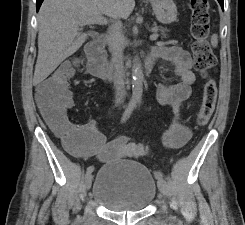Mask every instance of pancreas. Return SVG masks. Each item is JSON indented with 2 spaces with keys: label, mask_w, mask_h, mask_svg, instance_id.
Listing matches in <instances>:
<instances>
[{
  "label": "pancreas",
  "mask_w": 245,
  "mask_h": 225,
  "mask_svg": "<svg viewBox=\"0 0 245 225\" xmlns=\"http://www.w3.org/2000/svg\"><path fill=\"white\" fill-rule=\"evenodd\" d=\"M154 31H161L162 33H165L166 29L162 28V27H159V26H154L153 28Z\"/></svg>",
  "instance_id": "1"
}]
</instances>
